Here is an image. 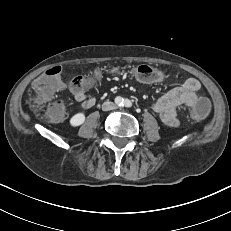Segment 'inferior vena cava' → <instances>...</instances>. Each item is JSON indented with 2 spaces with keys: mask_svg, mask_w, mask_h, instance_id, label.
<instances>
[{
  "mask_svg": "<svg viewBox=\"0 0 231 231\" xmlns=\"http://www.w3.org/2000/svg\"><path fill=\"white\" fill-rule=\"evenodd\" d=\"M113 108H114V105H113V103L110 102V101H106V102H104L103 105H102V109H103L104 111H109V110H112Z\"/></svg>",
  "mask_w": 231,
  "mask_h": 231,
  "instance_id": "1",
  "label": "inferior vena cava"
}]
</instances>
